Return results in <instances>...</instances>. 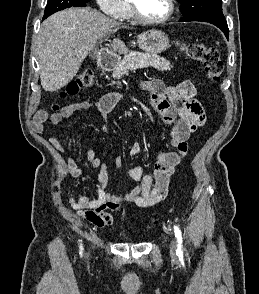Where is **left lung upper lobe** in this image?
Wrapping results in <instances>:
<instances>
[{
	"label": "left lung upper lobe",
	"instance_id": "obj_1",
	"mask_svg": "<svg viewBox=\"0 0 259 294\" xmlns=\"http://www.w3.org/2000/svg\"><path fill=\"white\" fill-rule=\"evenodd\" d=\"M184 14L182 19L196 18L223 20L222 0H177Z\"/></svg>",
	"mask_w": 259,
	"mask_h": 294
}]
</instances>
